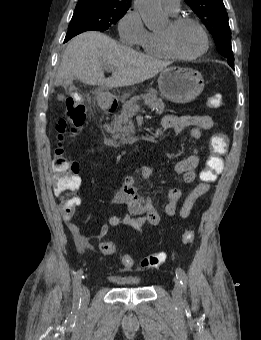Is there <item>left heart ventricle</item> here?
<instances>
[{
  "mask_svg": "<svg viewBox=\"0 0 261 340\" xmlns=\"http://www.w3.org/2000/svg\"><path fill=\"white\" fill-rule=\"evenodd\" d=\"M168 35L174 49L183 55H192L203 47V37L199 29L191 23H185L178 27H172L169 22L160 32Z\"/></svg>",
  "mask_w": 261,
  "mask_h": 340,
  "instance_id": "b2bd125f",
  "label": "left heart ventricle"
}]
</instances>
